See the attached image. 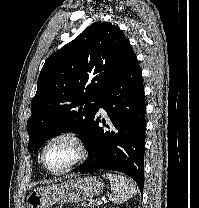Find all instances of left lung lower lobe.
<instances>
[{
    "mask_svg": "<svg viewBox=\"0 0 199 208\" xmlns=\"http://www.w3.org/2000/svg\"><path fill=\"white\" fill-rule=\"evenodd\" d=\"M100 107L107 112L110 124L103 129L98 125L100 119L94 117L84 142L90 157L77 171L106 169L123 172L136 181L142 192L146 106L142 72L136 55L102 91L96 113Z\"/></svg>",
    "mask_w": 199,
    "mask_h": 208,
    "instance_id": "1",
    "label": "left lung lower lobe"
}]
</instances>
